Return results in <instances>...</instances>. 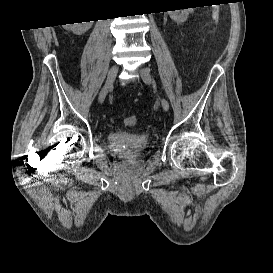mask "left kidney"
<instances>
[{
	"label": "left kidney",
	"instance_id": "5707ae66",
	"mask_svg": "<svg viewBox=\"0 0 273 273\" xmlns=\"http://www.w3.org/2000/svg\"><path fill=\"white\" fill-rule=\"evenodd\" d=\"M193 11V8H188V9H180V10H173V11H168L169 16L171 19L178 23L185 22L189 16V13Z\"/></svg>",
	"mask_w": 273,
	"mask_h": 273
}]
</instances>
